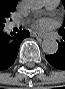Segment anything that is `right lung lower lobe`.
Returning a JSON list of instances; mask_svg holds the SVG:
<instances>
[{
  "label": "right lung lower lobe",
  "instance_id": "1",
  "mask_svg": "<svg viewBox=\"0 0 65 89\" xmlns=\"http://www.w3.org/2000/svg\"><path fill=\"white\" fill-rule=\"evenodd\" d=\"M29 36V31L21 30L10 37L0 29V71L9 68L17 58L20 44Z\"/></svg>",
  "mask_w": 65,
  "mask_h": 89
}]
</instances>
